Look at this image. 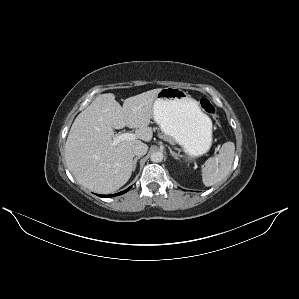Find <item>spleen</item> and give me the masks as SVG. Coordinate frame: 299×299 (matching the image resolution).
Here are the masks:
<instances>
[{
	"mask_svg": "<svg viewBox=\"0 0 299 299\" xmlns=\"http://www.w3.org/2000/svg\"><path fill=\"white\" fill-rule=\"evenodd\" d=\"M235 144L226 142L216 157L209 158L202 168V181L205 186H212L228 175L234 160Z\"/></svg>",
	"mask_w": 299,
	"mask_h": 299,
	"instance_id": "1",
	"label": "spleen"
}]
</instances>
